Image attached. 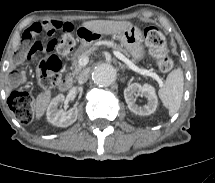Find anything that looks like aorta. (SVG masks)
<instances>
[{
  "label": "aorta",
  "mask_w": 215,
  "mask_h": 183,
  "mask_svg": "<svg viewBox=\"0 0 215 183\" xmlns=\"http://www.w3.org/2000/svg\"><path fill=\"white\" fill-rule=\"evenodd\" d=\"M116 77L117 71L111 64H99L92 72L93 82L100 87L111 85L116 80Z\"/></svg>",
  "instance_id": "762f6f07"
}]
</instances>
